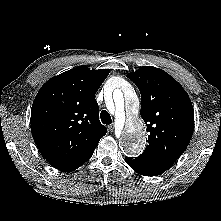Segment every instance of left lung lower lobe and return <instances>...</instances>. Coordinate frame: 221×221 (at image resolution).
I'll use <instances>...</instances> for the list:
<instances>
[{
  "label": "left lung lower lobe",
  "instance_id": "1",
  "mask_svg": "<svg viewBox=\"0 0 221 221\" xmlns=\"http://www.w3.org/2000/svg\"><path fill=\"white\" fill-rule=\"evenodd\" d=\"M125 161L138 174L144 176H157L170 168V164L163 161L140 155L137 158L126 157Z\"/></svg>",
  "mask_w": 221,
  "mask_h": 221
}]
</instances>
